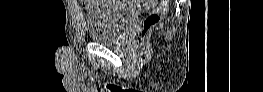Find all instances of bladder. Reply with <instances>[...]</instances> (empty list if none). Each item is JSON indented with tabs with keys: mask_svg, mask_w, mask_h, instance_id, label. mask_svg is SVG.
Segmentation results:
<instances>
[{
	"mask_svg": "<svg viewBox=\"0 0 263 92\" xmlns=\"http://www.w3.org/2000/svg\"><path fill=\"white\" fill-rule=\"evenodd\" d=\"M116 1H96L87 15L89 37L95 42L118 44L137 16L135 9L118 8Z\"/></svg>",
	"mask_w": 263,
	"mask_h": 92,
	"instance_id": "obj_1",
	"label": "bladder"
}]
</instances>
